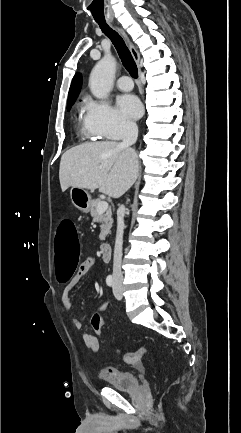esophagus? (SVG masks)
<instances>
[{"mask_svg":"<svg viewBox=\"0 0 241 433\" xmlns=\"http://www.w3.org/2000/svg\"><path fill=\"white\" fill-rule=\"evenodd\" d=\"M118 31L121 33V35L127 40L128 44H129V49L131 51V54L133 56V58L135 59V61L137 62V64L139 65V54L136 51L135 47L129 42L128 37L125 33V31L121 28H118Z\"/></svg>","mask_w":241,"mask_h":433,"instance_id":"obj_1","label":"esophagus"}]
</instances>
